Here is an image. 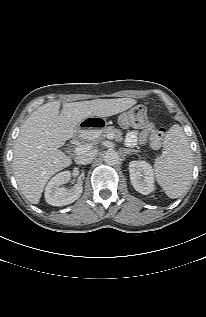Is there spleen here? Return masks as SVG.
Masks as SVG:
<instances>
[{"instance_id":"1","label":"spleen","mask_w":206,"mask_h":317,"mask_svg":"<svg viewBox=\"0 0 206 317\" xmlns=\"http://www.w3.org/2000/svg\"><path fill=\"white\" fill-rule=\"evenodd\" d=\"M163 148L162 156L156 159L154 174L166 195L175 199L188 189L193 171L192 152L182 127L174 124L169 129Z\"/></svg>"}]
</instances>
